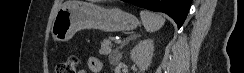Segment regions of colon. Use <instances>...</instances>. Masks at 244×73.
<instances>
[{
	"mask_svg": "<svg viewBox=\"0 0 244 73\" xmlns=\"http://www.w3.org/2000/svg\"><path fill=\"white\" fill-rule=\"evenodd\" d=\"M78 64V58L75 55L68 56L66 59L57 64L56 73H75Z\"/></svg>",
	"mask_w": 244,
	"mask_h": 73,
	"instance_id": "5ec220e1",
	"label": "colon"
}]
</instances>
